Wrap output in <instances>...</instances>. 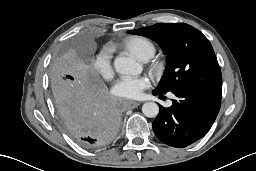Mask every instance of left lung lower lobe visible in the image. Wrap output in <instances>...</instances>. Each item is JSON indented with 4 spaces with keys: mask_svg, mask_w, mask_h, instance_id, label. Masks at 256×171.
<instances>
[{
    "mask_svg": "<svg viewBox=\"0 0 256 171\" xmlns=\"http://www.w3.org/2000/svg\"><path fill=\"white\" fill-rule=\"evenodd\" d=\"M221 88L184 85L172 91L169 108L160 107L152 127L165 144L183 148L199 140L211 128L221 105ZM153 95H163L153 91Z\"/></svg>",
    "mask_w": 256,
    "mask_h": 171,
    "instance_id": "left-lung-lower-lobe-1",
    "label": "left lung lower lobe"
}]
</instances>
